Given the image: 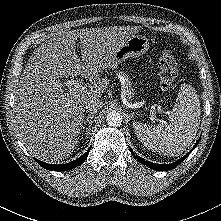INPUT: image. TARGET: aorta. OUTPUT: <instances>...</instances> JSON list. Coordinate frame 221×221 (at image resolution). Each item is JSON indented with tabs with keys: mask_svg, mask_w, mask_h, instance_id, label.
Returning <instances> with one entry per match:
<instances>
[{
	"mask_svg": "<svg viewBox=\"0 0 221 221\" xmlns=\"http://www.w3.org/2000/svg\"><path fill=\"white\" fill-rule=\"evenodd\" d=\"M106 122L109 126L118 127L122 123V115L118 111H112L107 114Z\"/></svg>",
	"mask_w": 221,
	"mask_h": 221,
	"instance_id": "762f6f07",
	"label": "aorta"
}]
</instances>
